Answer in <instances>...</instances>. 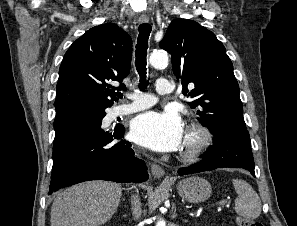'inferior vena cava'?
<instances>
[{"label":"inferior vena cava","instance_id":"obj_1","mask_svg":"<svg viewBox=\"0 0 297 226\" xmlns=\"http://www.w3.org/2000/svg\"><path fill=\"white\" fill-rule=\"evenodd\" d=\"M131 204H132V213L134 216V219H139L142 213L141 210V202L137 195H133L131 197Z\"/></svg>","mask_w":297,"mask_h":226}]
</instances>
